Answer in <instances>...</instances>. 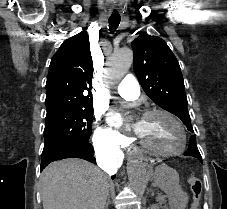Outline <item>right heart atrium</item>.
I'll return each mask as SVG.
<instances>
[{
    "label": "right heart atrium",
    "mask_w": 227,
    "mask_h": 209,
    "mask_svg": "<svg viewBox=\"0 0 227 209\" xmlns=\"http://www.w3.org/2000/svg\"><path fill=\"white\" fill-rule=\"evenodd\" d=\"M128 145V140L117 130L106 125H97L93 135L95 150L106 156H119Z\"/></svg>",
    "instance_id": "1"
}]
</instances>
